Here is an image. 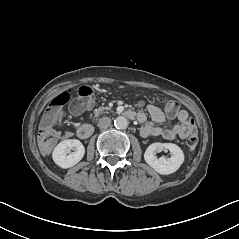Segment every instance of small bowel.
I'll return each instance as SVG.
<instances>
[{
	"instance_id": "1",
	"label": "small bowel",
	"mask_w": 239,
	"mask_h": 239,
	"mask_svg": "<svg viewBox=\"0 0 239 239\" xmlns=\"http://www.w3.org/2000/svg\"><path fill=\"white\" fill-rule=\"evenodd\" d=\"M146 110L150 115L151 122H147L145 113L139 112L137 115L138 121L142 124L141 135L143 137L161 136L167 140H174L177 138L186 139L193 131H196L195 126L191 124V119L185 110H179L172 116L165 114L159 107L153 104L147 105ZM166 118H176L178 122L169 128L159 126ZM48 134L49 138L47 141L43 142L40 140L42 150L46 154L52 150L58 138L69 137L71 135L68 131L61 132L56 129H51Z\"/></svg>"
}]
</instances>
